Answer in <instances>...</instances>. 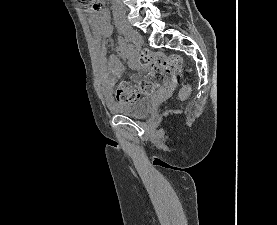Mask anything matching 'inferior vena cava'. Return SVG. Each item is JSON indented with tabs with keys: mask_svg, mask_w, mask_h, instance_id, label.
<instances>
[{
	"mask_svg": "<svg viewBox=\"0 0 277 225\" xmlns=\"http://www.w3.org/2000/svg\"><path fill=\"white\" fill-rule=\"evenodd\" d=\"M112 1V4L114 6H116L117 8L119 9H122V3H121V0H111Z\"/></svg>",
	"mask_w": 277,
	"mask_h": 225,
	"instance_id": "602c4592",
	"label": "inferior vena cava"
}]
</instances>
